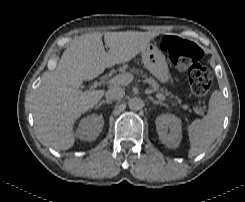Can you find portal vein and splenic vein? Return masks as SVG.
<instances>
[{
  "label": "portal vein and splenic vein",
  "instance_id": "portal-vein-and-splenic-vein-1",
  "mask_svg": "<svg viewBox=\"0 0 245 202\" xmlns=\"http://www.w3.org/2000/svg\"><path fill=\"white\" fill-rule=\"evenodd\" d=\"M134 79V76L131 73H124V74H119L113 78H111L107 84L109 85H127L131 83ZM156 97L159 100H165V96L161 93H157ZM201 114L203 113L202 111H199Z\"/></svg>",
  "mask_w": 245,
  "mask_h": 202
}]
</instances>
